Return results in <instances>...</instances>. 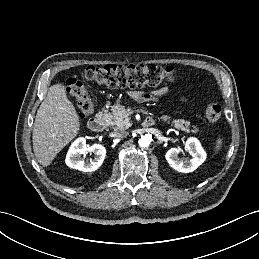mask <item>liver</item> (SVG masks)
I'll list each match as a JSON object with an SVG mask.
<instances>
[{
    "label": "liver",
    "mask_w": 259,
    "mask_h": 259,
    "mask_svg": "<svg viewBox=\"0 0 259 259\" xmlns=\"http://www.w3.org/2000/svg\"><path fill=\"white\" fill-rule=\"evenodd\" d=\"M80 125L65 86L60 83L52 85L37 111L33 126V151L38 162L44 167L49 166L56 155L77 136Z\"/></svg>",
    "instance_id": "1"
}]
</instances>
